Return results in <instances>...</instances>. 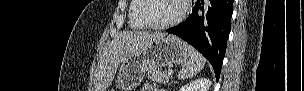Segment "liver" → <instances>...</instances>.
<instances>
[{"label": "liver", "instance_id": "obj_1", "mask_svg": "<svg viewBox=\"0 0 304 91\" xmlns=\"http://www.w3.org/2000/svg\"><path fill=\"white\" fill-rule=\"evenodd\" d=\"M163 36V33L149 32H123L116 36L100 57L95 91H106L114 79L118 66L127 55L140 51L152 39Z\"/></svg>", "mask_w": 304, "mask_h": 91}]
</instances>
